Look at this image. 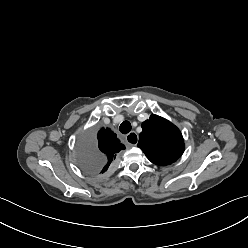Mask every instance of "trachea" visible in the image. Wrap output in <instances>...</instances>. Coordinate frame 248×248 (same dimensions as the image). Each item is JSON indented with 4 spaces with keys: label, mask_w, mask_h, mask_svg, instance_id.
<instances>
[{
    "label": "trachea",
    "mask_w": 248,
    "mask_h": 248,
    "mask_svg": "<svg viewBox=\"0 0 248 248\" xmlns=\"http://www.w3.org/2000/svg\"><path fill=\"white\" fill-rule=\"evenodd\" d=\"M131 124L129 121H124L121 123L119 129L122 134H127L131 131Z\"/></svg>",
    "instance_id": "obj_1"
}]
</instances>
